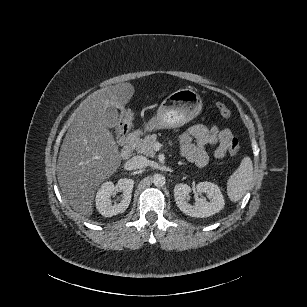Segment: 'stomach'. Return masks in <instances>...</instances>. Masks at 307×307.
<instances>
[{"label": "stomach", "mask_w": 307, "mask_h": 307, "mask_svg": "<svg viewBox=\"0 0 307 307\" xmlns=\"http://www.w3.org/2000/svg\"><path fill=\"white\" fill-rule=\"evenodd\" d=\"M202 106L197 92L189 88L179 89L163 100L156 116L144 126L148 131L179 128L198 116Z\"/></svg>", "instance_id": "obj_1"}]
</instances>
